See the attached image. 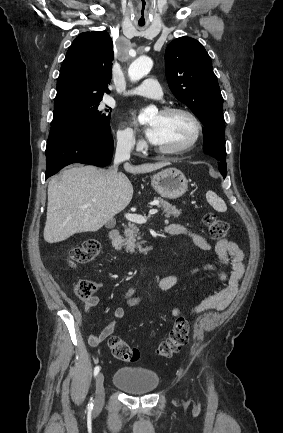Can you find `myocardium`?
I'll use <instances>...</instances> for the list:
<instances>
[{
    "label": "myocardium",
    "instance_id": "1",
    "mask_svg": "<svg viewBox=\"0 0 283 433\" xmlns=\"http://www.w3.org/2000/svg\"><path fill=\"white\" fill-rule=\"evenodd\" d=\"M185 114L188 117L191 118V120L194 122L195 125V133L194 136L192 137V139L183 147L179 148V149H175V150H158V152L165 156V157H178V156H183L187 153H189L191 150H193L195 148V146L198 144V142L201 140L202 135H203V131H204V126L203 123L201 121V119L199 118V116L193 112L192 110L186 108V107H181V106H169V107H165L160 111V114L163 115H174V114Z\"/></svg>",
    "mask_w": 283,
    "mask_h": 433
}]
</instances>
